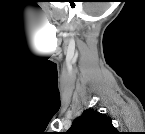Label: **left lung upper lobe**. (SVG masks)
Listing matches in <instances>:
<instances>
[{"label": "left lung upper lobe", "mask_w": 145, "mask_h": 134, "mask_svg": "<svg viewBox=\"0 0 145 134\" xmlns=\"http://www.w3.org/2000/svg\"><path fill=\"white\" fill-rule=\"evenodd\" d=\"M68 132L70 134H117L111 118L94 109H86L74 120Z\"/></svg>", "instance_id": "obj_1"}]
</instances>
